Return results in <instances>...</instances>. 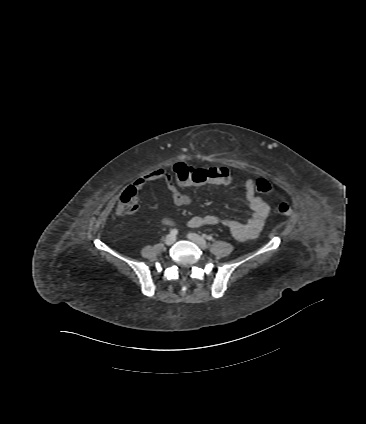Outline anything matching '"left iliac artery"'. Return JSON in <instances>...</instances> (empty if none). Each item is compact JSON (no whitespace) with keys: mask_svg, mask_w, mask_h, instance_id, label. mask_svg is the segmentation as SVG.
Returning a JSON list of instances; mask_svg holds the SVG:
<instances>
[{"mask_svg":"<svg viewBox=\"0 0 366 424\" xmlns=\"http://www.w3.org/2000/svg\"><path fill=\"white\" fill-rule=\"evenodd\" d=\"M203 237L209 241L213 240V237L210 235L203 234Z\"/></svg>","mask_w":366,"mask_h":424,"instance_id":"1","label":"left iliac artery"}]
</instances>
